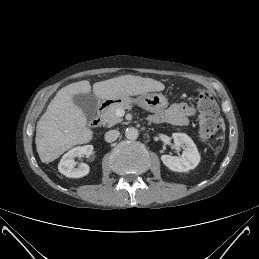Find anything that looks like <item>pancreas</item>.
<instances>
[{"label":"pancreas","mask_w":259,"mask_h":259,"mask_svg":"<svg viewBox=\"0 0 259 259\" xmlns=\"http://www.w3.org/2000/svg\"><path fill=\"white\" fill-rule=\"evenodd\" d=\"M132 106L129 104L123 105H112L106 111H104L100 118L103 125H107L108 127H112L115 124L121 122L123 119L116 114L118 109H131Z\"/></svg>","instance_id":"cf45deb5"}]
</instances>
